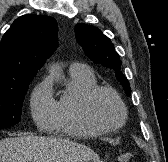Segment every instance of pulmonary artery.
Listing matches in <instances>:
<instances>
[{"label": "pulmonary artery", "instance_id": "e3ab8cb5", "mask_svg": "<svg viewBox=\"0 0 168 162\" xmlns=\"http://www.w3.org/2000/svg\"><path fill=\"white\" fill-rule=\"evenodd\" d=\"M88 67L79 64V63H74L70 66V70H81V71H85Z\"/></svg>", "mask_w": 168, "mask_h": 162}]
</instances>
